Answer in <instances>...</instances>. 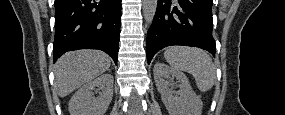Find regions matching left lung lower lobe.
I'll return each instance as SVG.
<instances>
[{
  "mask_svg": "<svg viewBox=\"0 0 285 115\" xmlns=\"http://www.w3.org/2000/svg\"><path fill=\"white\" fill-rule=\"evenodd\" d=\"M212 0H159L148 30V64L161 49L171 45L203 48L215 54L212 36Z\"/></svg>",
  "mask_w": 285,
  "mask_h": 115,
  "instance_id": "left-lung-lower-lobe-1",
  "label": "left lung lower lobe"
}]
</instances>
